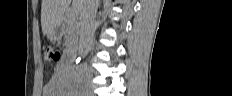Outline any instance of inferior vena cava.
<instances>
[{
  "mask_svg": "<svg viewBox=\"0 0 232 96\" xmlns=\"http://www.w3.org/2000/svg\"><path fill=\"white\" fill-rule=\"evenodd\" d=\"M79 53L86 55L93 44L98 0L80 1Z\"/></svg>",
  "mask_w": 232,
  "mask_h": 96,
  "instance_id": "602c4592",
  "label": "inferior vena cava"
}]
</instances>
